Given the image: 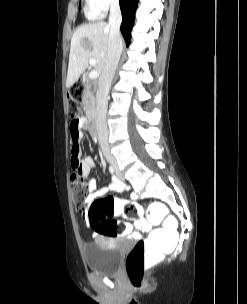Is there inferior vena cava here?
Returning <instances> with one entry per match:
<instances>
[{
    "mask_svg": "<svg viewBox=\"0 0 247 304\" xmlns=\"http://www.w3.org/2000/svg\"><path fill=\"white\" fill-rule=\"evenodd\" d=\"M121 21L122 16L119 7V0H112L109 15L110 33L106 64L98 81L94 124L102 152L106 160L113 166H116V159L111 154L108 144V128L106 123V114L109 90L122 51V38L120 33Z\"/></svg>",
    "mask_w": 247,
    "mask_h": 304,
    "instance_id": "1",
    "label": "inferior vena cava"
}]
</instances>
